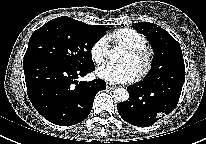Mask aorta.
Masks as SVG:
<instances>
[{
  "mask_svg": "<svg viewBox=\"0 0 206 144\" xmlns=\"http://www.w3.org/2000/svg\"><path fill=\"white\" fill-rule=\"evenodd\" d=\"M123 50L120 47H114L111 51H110V56L111 58L115 59L116 61L120 60V56L122 55ZM114 98L118 101V102H124L129 98V93L125 88H116L114 90Z\"/></svg>",
  "mask_w": 206,
  "mask_h": 144,
  "instance_id": "762f6f07",
  "label": "aorta"
}]
</instances>
